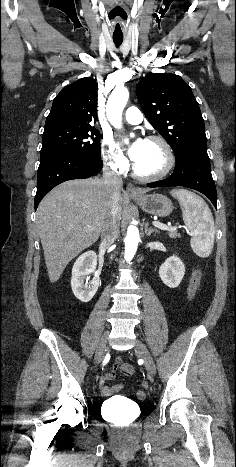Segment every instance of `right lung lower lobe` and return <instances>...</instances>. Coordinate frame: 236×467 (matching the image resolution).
Masks as SVG:
<instances>
[{"label": "right lung lower lobe", "mask_w": 236, "mask_h": 467, "mask_svg": "<svg viewBox=\"0 0 236 467\" xmlns=\"http://www.w3.org/2000/svg\"><path fill=\"white\" fill-rule=\"evenodd\" d=\"M102 167L101 159H92L73 152H56L41 157L37 171L35 209L56 185L67 180L89 178L97 174Z\"/></svg>", "instance_id": "right-lung-lower-lobe-1"}]
</instances>
